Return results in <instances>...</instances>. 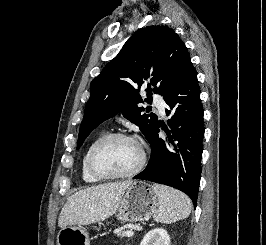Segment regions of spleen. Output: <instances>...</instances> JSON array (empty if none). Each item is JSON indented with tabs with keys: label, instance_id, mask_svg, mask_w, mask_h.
I'll return each instance as SVG.
<instances>
[{
	"label": "spleen",
	"instance_id": "3e777b00",
	"mask_svg": "<svg viewBox=\"0 0 266 245\" xmlns=\"http://www.w3.org/2000/svg\"><path fill=\"white\" fill-rule=\"evenodd\" d=\"M153 191L158 197V209L153 215L157 223H176L181 219H187L191 213L192 201L176 189L165 187V185H153Z\"/></svg>",
	"mask_w": 266,
	"mask_h": 245
}]
</instances>
